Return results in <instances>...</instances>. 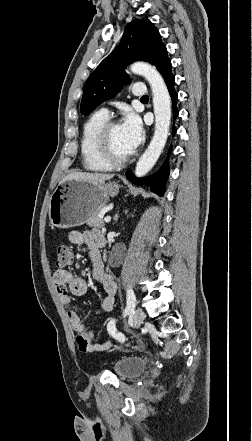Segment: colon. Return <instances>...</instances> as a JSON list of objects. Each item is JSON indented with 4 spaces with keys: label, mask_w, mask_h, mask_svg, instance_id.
<instances>
[{
    "label": "colon",
    "mask_w": 252,
    "mask_h": 441,
    "mask_svg": "<svg viewBox=\"0 0 252 441\" xmlns=\"http://www.w3.org/2000/svg\"><path fill=\"white\" fill-rule=\"evenodd\" d=\"M72 261V254L68 246L60 245L57 248V260L56 265L59 268H63L69 265ZM92 334V330L90 328H85L84 330L77 332V343L80 351L88 352L90 346V337Z\"/></svg>",
    "instance_id": "obj_1"
}]
</instances>
